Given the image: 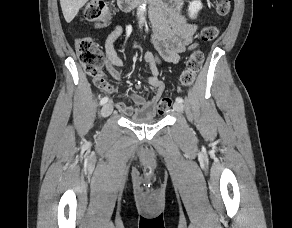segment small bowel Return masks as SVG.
<instances>
[{
	"label": "small bowel",
	"mask_w": 292,
	"mask_h": 228,
	"mask_svg": "<svg viewBox=\"0 0 292 228\" xmlns=\"http://www.w3.org/2000/svg\"><path fill=\"white\" fill-rule=\"evenodd\" d=\"M150 21L152 24L151 43L154 52H147L144 56L149 68L147 82L153 89L150 98L132 92L131 99L137 107L127 105L122 101L116 103L117 108L126 115L142 114L154 116L157 112V103L164 92V83L159 78V67L163 63H177L181 54L193 47V39L197 25L190 22L184 15L183 0L159 1L151 7ZM124 29L120 25L113 26L106 35V69L116 79L122 76L118 68L123 65L122 59L117 55L114 44L123 35ZM141 85H138L140 87ZM108 92L114 88L105 79L101 86Z\"/></svg>",
	"instance_id": "obj_1"
}]
</instances>
